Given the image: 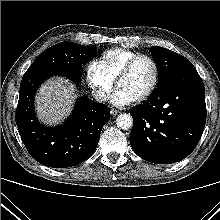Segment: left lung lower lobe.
Returning <instances> with one entry per match:
<instances>
[{"instance_id":"obj_1","label":"left lung lower lobe","mask_w":220,"mask_h":220,"mask_svg":"<svg viewBox=\"0 0 220 220\" xmlns=\"http://www.w3.org/2000/svg\"><path fill=\"white\" fill-rule=\"evenodd\" d=\"M130 144L146 161L172 164L197 146L206 122L205 90L196 69L182 71L130 111Z\"/></svg>"}]
</instances>
